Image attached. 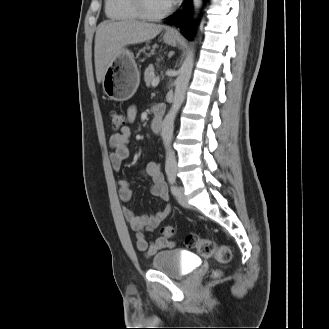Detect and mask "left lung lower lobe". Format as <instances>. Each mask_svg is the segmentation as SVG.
<instances>
[{"label": "left lung lower lobe", "mask_w": 329, "mask_h": 329, "mask_svg": "<svg viewBox=\"0 0 329 329\" xmlns=\"http://www.w3.org/2000/svg\"><path fill=\"white\" fill-rule=\"evenodd\" d=\"M176 17L167 22L168 24H175L177 25L182 34L191 40L193 36V28H192V0H185L183 9L175 14ZM178 15V16H177Z\"/></svg>", "instance_id": "0a47b994"}]
</instances>
